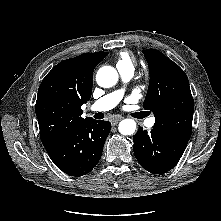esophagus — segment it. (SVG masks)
Wrapping results in <instances>:
<instances>
[{
	"label": "esophagus",
	"mask_w": 221,
	"mask_h": 221,
	"mask_svg": "<svg viewBox=\"0 0 221 221\" xmlns=\"http://www.w3.org/2000/svg\"><path fill=\"white\" fill-rule=\"evenodd\" d=\"M121 119H122L121 117H116V118H113V119L111 120L112 125H117V124H118V122H119Z\"/></svg>",
	"instance_id": "1"
}]
</instances>
